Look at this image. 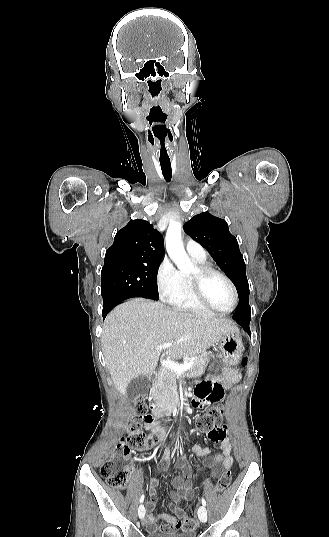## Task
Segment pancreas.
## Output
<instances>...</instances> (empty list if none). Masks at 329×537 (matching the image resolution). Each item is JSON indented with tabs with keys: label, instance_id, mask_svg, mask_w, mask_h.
Segmentation results:
<instances>
[{
	"label": "pancreas",
	"instance_id": "obj_1",
	"mask_svg": "<svg viewBox=\"0 0 329 537\" xmlns=\"http://www.w3.org/2000/svg\"><path fill=\"white\" fill-rule=\"evenodd\" d=\"M193 362L192 368L187 372L188 377L196 376L206 365L208 361V353L204 352L201 355L191 359ZM177 373L171 369L164 371L158 380L153 384V393L164 398L166 401H174L178 397L176 391Z\"/></svg>",
	"mask_w": 329,
	"mask_h": 537
}]
</instances>
